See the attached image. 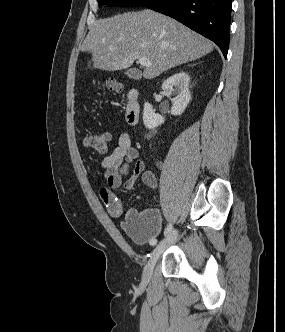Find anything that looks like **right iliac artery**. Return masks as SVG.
Wrapping results in <instances>:
<instances>
[{
	"mask_svg": "<svg viewBox=\"0 0 285 332\" xmlns=\"http://www.w3.org/2000/svg\"><path fill=\"white\" fill-rule=\"evenodd\" d=\"M171 230H172V225L169 224L164 230V235H167ZM154 244H155V242H152V245H154Z\"/></svg>",
	"mask_w": 285,
	"mask_h": 332,
	"instance_id": "82829eb1",
	"label": "right iliac artery"
}]
</instances>
